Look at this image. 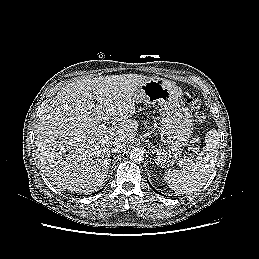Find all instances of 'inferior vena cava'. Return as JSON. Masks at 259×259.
Returning a JSON list of instances; mask_svg holds the SVG:
<instances>
[{
    "instance_id": "602c4592",
    "label": "inferior vena cava",
    "mask_w": 259,
    "mask_h": 259,
    "mask_svg": "<svg viewBox=\"0 0 259 259\" xmlns=\"http://www.w3.org/2000/svg\"><path fill=\"white\" fill-rule=\"evenodd\" d=\"M109 149L111 152H117L122 149V143L118 141H112L110 143Z\"/></svg>"
}]
</instances>
